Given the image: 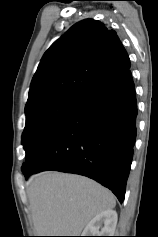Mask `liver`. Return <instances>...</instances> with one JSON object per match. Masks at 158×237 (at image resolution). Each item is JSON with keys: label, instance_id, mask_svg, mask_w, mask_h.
<instances>
[{"label": "liver", "instance_id": "obj_1", "mask_svg": "<svg viewBox=\"0 0 158 237\" xmlns=\"http://www.w3.org/2000/svg\"><path fill=\"white\" fill-rule=\"evenodd\" d=\"M26 190L36 236H79L91 219L116 205L108 189L74 174L42 172Z\"/></svg>", "mask_w": 158, "mask_h": 237}]
</instances>
